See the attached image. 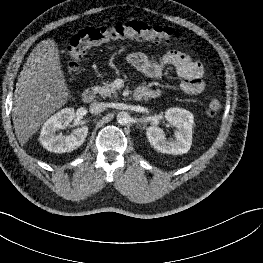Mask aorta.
Masks as SVG:
<instances>
[{
    "label": "aorta",
    "instance_id": "obj_1",
    "mask_svg": "<svg viewBox=\"0 0 263 263\" xmlns=\"http://www.w3.org/2000/svg\"><path fill=\"white\" fill-rule=\"evenodd\" d=\"M130 120H131L130 115L125 111H121L117 114V122L120 125H126L130 122Z\"/></svg>",
    "mask_w": 263,
    "mask_h": 263
}]
</instances>
